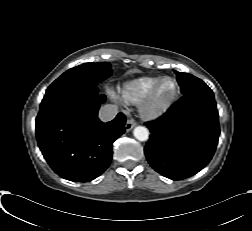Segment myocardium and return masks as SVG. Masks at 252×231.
Returning <instances> with one entry per match:
<instances>
[{"label":"myocardium","mask_w":252,"mask_h":231,"mask_svg":"<svg viewBox=\"0 0 252 231\" xmlns=\"http://www.w3.org/2000/svg\"><path fill=\"white\" fill-rule=\"evenodd\" d=\"M165 81H171L173 83V91L171 95L165 101L161 102L158 100L159 91L162 84ZM179 94V86L176 79L164 76L162 77L152 88L149 94L140 104V112L142 116L147 119H155L164 115L174 104Z\"/></svg>","instance_id":"f54148a6"}]
</instances>
